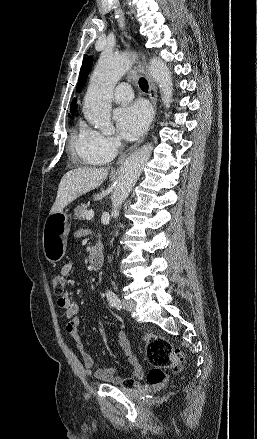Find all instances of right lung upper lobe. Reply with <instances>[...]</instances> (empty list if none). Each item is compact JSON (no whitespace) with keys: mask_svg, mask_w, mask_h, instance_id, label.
<instances>
[{"mask_svg":"<svg viewBox=\"0 0 257 439\" xmlns=\"http://www.w3.org/2000/svg\"><path fill=\"white\" fill-rule=\"evenodd\" d=\"M76 102H77V100L74 98L73 101L71 102V105H70V112H76V109H77Z\"/></svg>","mask_w":257,"mask_h":439,"instance_id":"1","label":"right lung upper lobe"}]
</instances>
